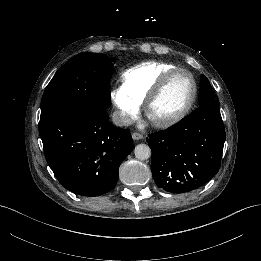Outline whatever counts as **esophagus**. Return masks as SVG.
I'll return each mask as SVG.
<instances>
[{"label":"esophagus","instance_id":"34e87169","mask_svg":"<svg viewBox=\"0 0 261 261\" xmlns=\"http://www.w3.org/2000/svg\"><path fill=\"white\" fill-rule=\"evenodd\" d=\"M132 138H133L134 140H140V139L143 138V135L140 134V133H138V132H134V133L132 134Z\"/></svg>","mask_w":261,"mask_h":261}]
</instances>
